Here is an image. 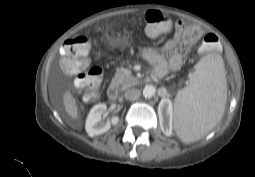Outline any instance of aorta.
I'll list each match as a JSON object with an SVG mask.
<instances>
[{
  "label": "aorta",
  "mask_w": 255,
  "mask_h": 177,
  "mask_svg": "<svg viewBox=\"0 0 255 177\" xmlns=\"http://www.w3.org/2000/svg\"><path fill=\"white\" fill-rule=\"evenodd\" d=\"M156 88L153 85H146L143 89V95L145 98H151L154 96Z\"/></svg>",
  "instance_id": "aorta-1"
}]
</instances>
